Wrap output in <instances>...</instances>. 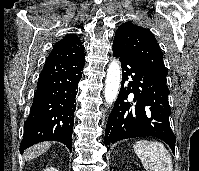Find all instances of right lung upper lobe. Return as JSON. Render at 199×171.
<instances>
[{"label": "right lung upper lobe", "instance_id": "right-lung-upper-lobe-1", "mask_svg": "<svg viewBox=\"0 0 199 171\" xmlns=\"http://www.w3.org/2000/svg\"><path fill=\"white\" fill-rule=\"evenodd\" d=\"M84 55V46L79 37L69 34L54 45L46 60H73Z\"/></svg>", "mask_w": 199, "mask_h": 171}]
</instances>
